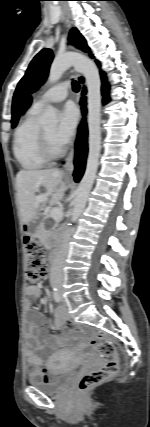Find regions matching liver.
I'll list each match as a JSON object with an SVG mask.
<instances>
[{"label":"liver","instance_id":"obj_1","mask_svg":"<svg viewBox=\"0 0 150 427\" xmlns=\"http://www.w3.org/2000/svg\"><path fill=\"white\" fill-rule=\"evenodd\" d=\"M17 196L22 223L27 224L39 215L40 203L35 201V193L40 186L47 190L50 205L59 204L66 191L63 173L56 169L21 170L16 176Z\"/></svg>","mask_w":150,"mask_h":427}]
</instances>
